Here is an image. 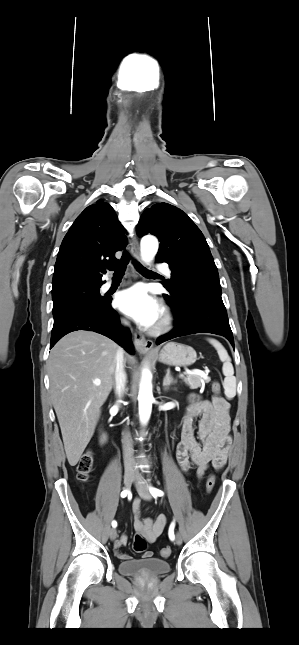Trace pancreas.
<instances>
[{
	"instance_id": "obj_1",
	"label": "pancreas",
	"mask_w": 299,
	"mask_h": 645,
	"mask_svg": "<svg viewBox=\"0 0 299 645\" xmlns=\"http://www.w3.org/2000/svg\"><path fill=\"white\" fill-rule=\"evenodd\" d=\"M210 377L188 374L186 377H183V381L190 387V389H197L202 386V384L210 382Z\"/></svg>"
}]
</instances>
